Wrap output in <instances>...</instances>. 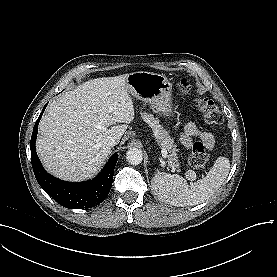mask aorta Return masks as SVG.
Here are the masks:
<instances>
[{
  "instance_id": "aorta-1",
  "label": "aorta",
  "mask_w": 277,
  "mask_h": 277,
  "mask_svg": "<svg viewBox=\"0 0 277 277\" xmlns=\"http://www.w3.org/2000/svg\"><path fill=\"white\" fill-rule=\"evenodd\" d=\"M128 163L138 165L143 161V153L141 149L130 148L126 153Z\"/></svg>"
}]
</instances>
